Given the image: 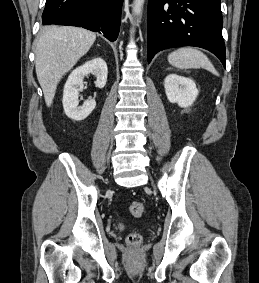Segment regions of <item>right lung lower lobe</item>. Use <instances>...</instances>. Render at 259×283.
<instances>
[{"instance_id":"1","label":"right lung lower lobe","mask_w":259,"mask_h":283,"mask_svg":"<svg viewBox=\"0 0 259 283\" xmlns=\"http://www.w3.org/2000/svg\"><path fill=\"white\" fill-rule=\"evenodd\" d=\"M123 0H46L43 24L78 26L114 42L119 34Z\"/></svg>"}]
</instances>
